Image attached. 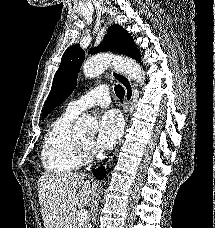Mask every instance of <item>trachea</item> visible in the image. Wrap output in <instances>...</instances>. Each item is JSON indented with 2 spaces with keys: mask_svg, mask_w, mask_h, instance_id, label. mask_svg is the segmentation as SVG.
<instances>
[{
  "mask_svg": "<svg viewBox=\"0 0 215 228\" xmlns=\"http://www.w3.org/2000/svg\"><path fill=\"white\" fill-rule=\"evenodd\" d=\"M114 91L118 98L123 99L125 95L124 88L121 85L116 84L114 87Z\"/></svg>",
  "mask_w": 215,
  "mask_h": 228,
  "instance_id": "obj_1",
  "label": "trachea"
}]
</instances>
